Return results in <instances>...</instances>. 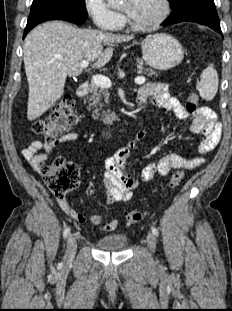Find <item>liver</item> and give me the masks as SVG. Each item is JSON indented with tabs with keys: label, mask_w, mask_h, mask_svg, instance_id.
<instances>
[{
	"label": "liver",
	"mask_w": 232,
	"mask_h": 311,
	"mask_svg": "<svg viewBox=\"0 0 232 311\" xmlns=\"http://www.w3.org/2000/svg\"><path fill=\"white\" fill-rule=\"evenodd\" d=\"M131 39L133 36L80 29L61 21L46 22L33 29L23 46L29 87L28 120L39 118L62 96L67 76L82 73V60L95 61L93 68H101L111 59L114 43ZM103 45L110 47L104 50Z\"/></svg>",
	"instance_id": "1"
}]
</instances>
